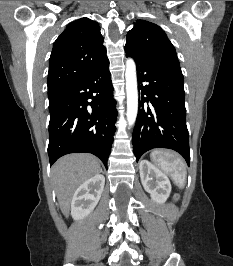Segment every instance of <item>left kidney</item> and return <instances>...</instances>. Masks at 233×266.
I'll return each instance as SVG.
<instances>
[{"instance_id": "1", "label": "left kidney", "mask_w": 233, "mask_h": 266, "mask_svg": "<svg viewBox=\"0 0 233 266\" xmlns=\"http://www.w3.org/2000/svg\"><path fill=\"white\" fill-rule=\"evenodd\" d=\"M141 183L144 189L150 193L153 201L164 203L170 195L171 183L168 177L147 160L139 164Z\"/></svg>"}]
</instances>
